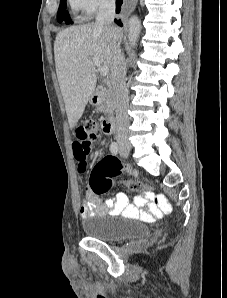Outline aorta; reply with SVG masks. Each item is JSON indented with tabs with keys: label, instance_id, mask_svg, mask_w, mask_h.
Listing matches in <instances>:
<instances>
[{
	"label": "aorta",
	"instance_id": "obj_1",
	"mask_svg": "<svg viewBox=\"0 0 227 298\" xmlns=\"http://www.w3.org/2000/svg\"><path fill=\"white\" fill-rule=\"evenodd\" d=\"M141 33V22L136 15H133L128 22V39L132 46H135Z\"/></svg>",
	"mask_w": 227,
	"mask_h": 298
}]
</instances>
